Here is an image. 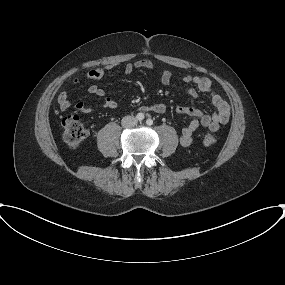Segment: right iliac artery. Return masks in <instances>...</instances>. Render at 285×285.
I'll return each mask as SVG.
<instances>
[{
  "mask_svg": "<svg viewBox=\"0 0 285 285\" xmlns=\"http://www.w3.org/2000/svg\"><path fill=\"white\" fill-rule=\"evenodd\" d=\"M136 118H137L139 121H142V120L145 118V116H144L143 113H138V114L136 115Z\"/></svg>",
  "mask_w": 285,
  "mask_h": 285,
  "instance_id": "1",
  "label": "right iliac artery"
}]
</instances>
